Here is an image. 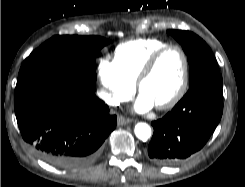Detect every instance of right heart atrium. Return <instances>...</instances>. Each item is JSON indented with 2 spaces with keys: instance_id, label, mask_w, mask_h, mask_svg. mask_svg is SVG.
<instances>
[{
  "instance_id": "1",
  "label": "right heart atrium",
  "mask_w": 245,
  "mask_h": 187,
  "mask_svg": "<svg viewBox=\"0 0 245 187\" xmlns=\"http://www.w3.org/2000/svg\"><path fill=\"white\" fill-rule=\"evenodd\" d=\"M100 82L99 96L109 106H117L131 98L135 84L131 83L120 71L114 60L101 57L97 62Z\"/></svg>"
}]
</instances>
